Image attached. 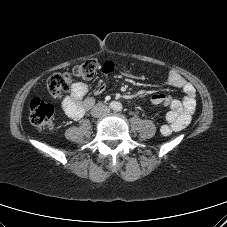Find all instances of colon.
I'll return each instance as SVG.
<instances>
[{
	"mask_svg": "<svg viewBox=\"0 0 227 227\" xmlns=\"http://www.w3.org/2000/svg\"><path fill=\"white\" fill-rule=\"evenodd\" d=\"M98 70L95 60L89 59L73 68L71 72L52 75L47 82L49 95L59 99L69 91L74 79L91 80ZM54 106L41 98H35L30 104V122L40 130H50L54 125Z\"/></svg>",
	"mask_w": 227,
	"mask_h": 227,
	"instance_id": "1",
	"label": "colon"
}]
</instances>
